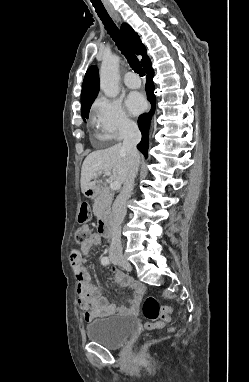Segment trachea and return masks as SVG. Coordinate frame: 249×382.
Returning a JSON list of instances; mask_svg holds the SVG:
<instances>
[{
  "label": "trachea",
  "mask_w": 249,
  "mask_h": 382,
  "mask_svg": "<svg viewBox=\"0 0 249 382\" xmlns=\"http://www.w3.org/2000/svg\"><path fill=\"white\" fill-rule=\"evenodd\" d=\"M92 2V0H91ZM93 7L95 8L96 13L102 20L105 29L107 30L110 37L118 46V49L122 52V54L126 57L130 67L138 73L140 76H144V70L142 69L140 62L137 56L134 54L132 49L130 48L127 40L124 38L120 30L117 28L109 14L107 13L102 2H92Z\"/></svg>",
  "instance_id": "trachea-1"
}]
</instances>
